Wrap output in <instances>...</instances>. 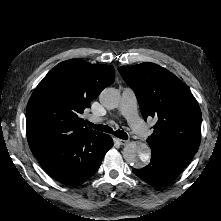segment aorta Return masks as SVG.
<instances>
[{"mask_svg":"<svg viewBox=\"0 0 221 221\" xmlns=\"http://www.w3.org/2000/svg\"><path fill=\"white\" fill-rule=\"evenodd\" d=\"M100 103L107 109H115L120 103V93L114 88H105L100 96ZM125 161L131 166L140 168L150 158V148L141 142H130L122 151Z\"/></svg>","mask_w":221,"mask_h":221,"instance_id":"1","label":"aorta"}]
</instances>
